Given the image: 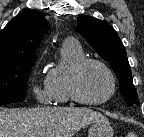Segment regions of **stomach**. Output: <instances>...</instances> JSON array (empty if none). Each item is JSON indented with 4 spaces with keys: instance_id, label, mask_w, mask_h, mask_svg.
Wrapping results in <instances>:
<instances>
[{
    "instance_id": "1",
    "label": "stomach",
    "mask_w": 144,
    "mask_h": 137,
    "mask_svg": "<svg viewBox=\"0 0 144 137\" xmlns=\"http://www.w3.org/2000/svg\"><path fill=\"white\" fill-rule=\"evenodd\" d=\"M114 131L108 120H99L92 124L88 137H113Z\"/></svg>"
}]
</instances>
